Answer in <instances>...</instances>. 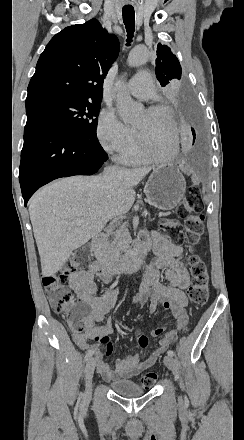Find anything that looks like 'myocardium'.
<instances>
[{
	"label": "myocardium",
	"mask_w": 244,
	"mask_h": 440,
	"mask_svg": "<svg viewBox=\"0 0 244 440\" xmlns=\"http://www.w3.org/2000/svg\"><path fill=\"white\" fill-rule=\"evenodd\" d=\"M146 111L149 110H159V111H168V117H169V121L171 122L169 124V128H168V132H169V155L167 156H160L158 158H154V161L158 164L161 165H170V163L172 161H174L175 157H176V131H175V127H174V114H173V110H169L168 106L163 105V104H156V105H151L149 107H147L145 109ZM136 129V128H135ZM136 132L138 133V135L140 136L137 139V142L139 143L140 147H143L144 145H146V142H144V133L139 131L138 129H136ZM145 143V144H144ZM147 146V145H146ZM149 148H159L160 150L164 151L163 146L159 143L158 146H147Z\"/></svg>",
	"instance_id": "myocardium-1"
}]
</instances>
